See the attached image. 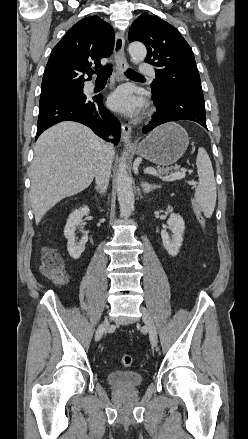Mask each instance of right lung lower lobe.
Here are the masks:
<instances>
[{"label": "right lung lower lobe", "mask_w": 248, "mask_h": 439, "mask_svg": "<svg viewBox=\"0 0 248 439\" xmlns=\"http://www.w3.org/2000/svg\"><path fill=\"white\" fill-rule=\"evenodd\" d=\"M62 121H76L90 127L95 134L115 145L119 142L121 127L118 120L103 106L102 96L87 98L77 95L40 108L36 139L49 127ZM113 132L115 138L107 135Z\"/></svg>", "instance_id": "obj_1"}]
</instances>
